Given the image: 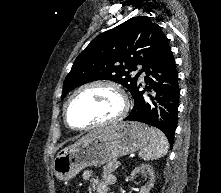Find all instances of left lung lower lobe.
<instances>
[{"mask_svg": "<svg viewBox=\"0 0 221 193\" xmlns=\"http://www.w3.org/2000/svg\"><path fill=\"white\" fill-rule=\"evenodd\" d=\"M146 86L140 91L138 84L132 92L134 106L125 118L159 128L173 145L174 133L178 122L180 88L178 72L171 48L166 42L157 55L143 67ZM147 92V97L143 94Z\"/></svg>", "mask_w": 221, "mask_h": 193, "instance_id": "left-lung-lower-lobe-1", "label": "left lung lower lobe"}]
</instances>
